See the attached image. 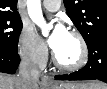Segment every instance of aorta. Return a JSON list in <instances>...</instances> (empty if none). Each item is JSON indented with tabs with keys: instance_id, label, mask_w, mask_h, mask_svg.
<instances>
[{
	"instance_id": "762f6f07",
	"label": "aorta",
	"mask_w": 107,
	"mask_h": 89,
	"mask_svg": "<svg viewBox=\"0 0 107 89\" xmlns=\"http://www.w3.org/2000/svg\"><path fill=\"white\" fill-rule=\"evenodd\" d=\"M27 10L31 20L40 27L43 36H48L49 31L52 29V24H46L40 0H27Z\"/></svg>"
}]
</instances>
